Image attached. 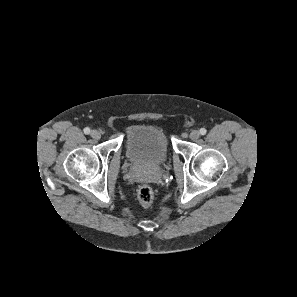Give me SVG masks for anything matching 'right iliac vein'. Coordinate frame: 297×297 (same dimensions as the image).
I'll use <instances>...</instances> for the list:
<instances>
[{"mask_svg": "<svg viewBox=\"0 0 297 297\" xmlns=\"http://www.w3.org/2000/svg\"><path fill=\"white\" fill-rule=\"evenodd\" d=\"M90 135H91V137L93 138V139H96V140H98V139H100V137H101V132L99 131V130H92L91 131V133H90Z\"/></svg>", "mask_w": 297, "mask_h": 297, "instance_id": "63e3f726", "label": "right iliac vein"}]
</instances>
